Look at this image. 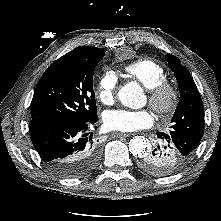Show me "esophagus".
<instances>
[{"label": "esophagus", "instance_id": "34e87169", "mask_svg": "<svg viewBox=\"0 0 221 221\" xmlns=\"http://www.w3.org/2000/svg\"><path fill=\"white\" fill-rule=\"evenodd\" d=\"M114 137H129L131 134H128V133H121V132H115L112 134Z\"/></svg>", "mask_w": 221, "mask_h": 221}]
</instances>
